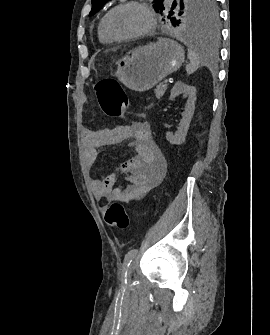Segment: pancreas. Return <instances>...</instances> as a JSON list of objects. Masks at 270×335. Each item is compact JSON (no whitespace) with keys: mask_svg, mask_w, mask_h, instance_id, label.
<instances>
[{"mask_svg":"<svg viewBox=\"0 0 270 335\" xmlns=\"http://www.w3.org/2000/svg\"><path fill=\"white\" fill-rule=\"evenodd\" d=\"M165 90H167V88L163 82L159 84V86H156V90H154L156 98H162L163 94H165Z\"/></svg>","mask_w":270,"mask_h":335,"instance_id":"obj_1","label":"pancreas"}]
</instances>
